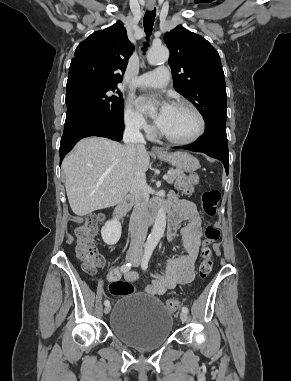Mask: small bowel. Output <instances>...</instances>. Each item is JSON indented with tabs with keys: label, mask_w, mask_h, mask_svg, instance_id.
Returning <instances> with one entry per match:
<instances>
[{
	"label": "small bowel",
	"mask_w": 291,
	"mask_h": 381,
	"mask_svg": "<svg viewBox=\"0 0 291 381\" xmlns=\"http://www.w3.org/2000/svg\"><path fill=\"white\" fill-rule=\"evenodd\" d=\"M168 207L169 238L173 243L176 241L180 223L186 222L180 229L184 253L169 260L165 273L153 275V280L144 286V291L153 296L162 295L177 284L191 282L195 277L194 264L200 245L201 218L192 202L172 197ZM120 278L121 273L117 268L112 269L107 275L109 282L118 281ZM123 279L127 282H136L139 280V275L130 271L123 275Z\"/></svg>",
	"instance_id": "1"
}]
</instances>
